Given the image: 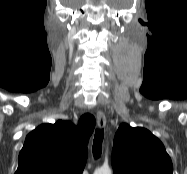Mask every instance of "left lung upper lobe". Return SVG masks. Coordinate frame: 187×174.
I'll return each mask as SVG.
<instances>
[{"label": "left lung upper lobe", "instance_id": "5c2ea615", "mask_svg": "<svg viewBox=\"0 0 187 174\" xmlns=\"http://www.w3.org/2000/svg\"><path fill=\"white\" fill-rule=\"evenodd\" d=\"M111 162L114 174H173L162 142L147 129L128 124L115 134Z\"/></svg>", "mask_w": 187, "mask_h": 174}]
</instances>
